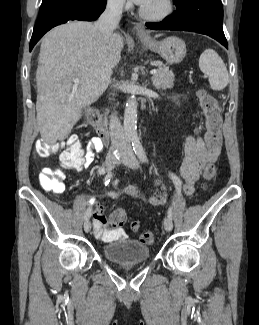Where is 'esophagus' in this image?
Wrapping results in <instances>:
<instances>
[{"label": "esophagus", "mask_w": 259, "mask_h": 325, "mask_svg": "<svg viewBox=\"0 0 259 325\" xmlns=\"http://www.w3.org/2000/svg\"><path fill=\"white\" fill-rule=\"evenodd\" d=\"M135 30H136V32H137V34L140 36V37H142V38H146V39H148L149 38V34H148V32L141 26V25H139V24H137L136 26H135Z\"/></svg>", "instance_id": "obj_1"}]
</instances>
